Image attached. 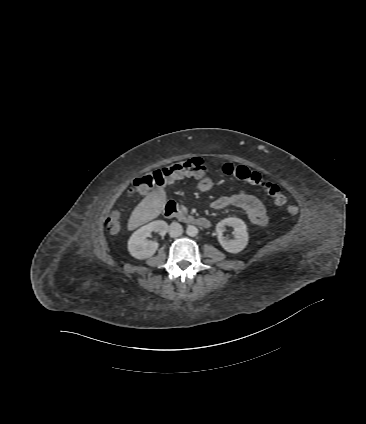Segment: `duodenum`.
<instances>
[{"label":"duodenum","instance_id":"obj_1","mask_svg":"<svg viewBox=\"0 0 366 424\" xmlns=\"http://www.w3.org/2000/svg\"><path fill=\"white\" fill-rule=\"evenodd\" d=\"M164 216L166 218H175L180 221H185L202 228H208L210 226V221L208 219L204 217H189L181 211L176 203L171 201L164 206Z\"/></svg>","mask_w":366,"mask_h":424}]
</instances>
